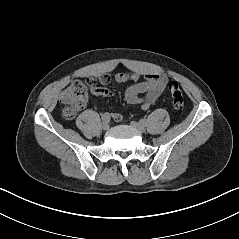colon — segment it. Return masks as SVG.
<instances>
[{"label": "colon", "instance_id": "colon-1", "mask_svg": "<svg viewBox=\"0 0 239 239\" xmlns=\"http://www.w3.org/2000/svg\"><path fill=\"white\" fill-rule=\"evenodd\" d=\"M96 84L97 82L94 78H88L86 83L74 81L62 92L60 100L64 105L63 116L66 119H72L84 108L88 99V88H93ZM169 92L174 108H182L184 105V96L177 82L169 84Z\"/></svg>", "mask_w": 239, "mask_h": 239}]
</instances>
